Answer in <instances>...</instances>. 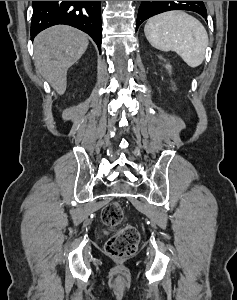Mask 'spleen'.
Segmentation results:
<instances>
[{
	"label": "spleen",
	"instance_id": "1",
	"mask_svg": "<svg viewBox=\"0 0 237 300\" xmlns=\"http://www.w3.org/2000/svg\"><path fill=\"white\" fill-rule=\"evenodd\" d=\"M144 33L152 47L175 51L188 67H199L205 59L209 39L205 27L184 11H168L148 19Z\"/></svg>",
	"mask_w": 237,
	"mask_h": 300
}]
</instances>
